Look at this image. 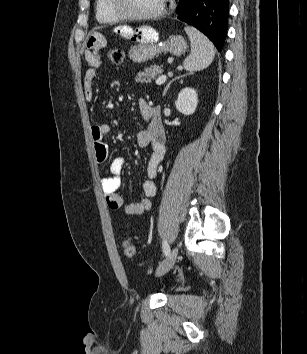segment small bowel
<instances>
[{
	"label": "small bowel",
	"mask_w": 307,
	"mask_h": 354,
	"mask_svg": "<svg viewBox=\"0 0 307 354\" xmlns=\"http://www.w3.org/2000/svg\"><path fill=\"white\" fill-rule=\"evenodd\" d=\"M116 34L121 38H134L136 29L119 28ZM105 46V41L101 37H94L88 41L85 51V62L88 66L83 78V91L87 100L94 97V80L97 76L98 68L102 64L100 52ZM139 109L147 127L142 130L137 137L138 145L141 148L149 149L151 156L146 166L147 179L142 183L144 197L135 203L124 204L123 198L117 193L121 186V173L125 165L123 157H116L112 160L109 174L102 177L101 186L106 196L107 204L110 209H124L128 215H141L151 208V198L155 196L157 188L154 179L157 175L158 167L165 155V134L157 110L152 107L145 99L139 100ZM110 132V125L107 123L95 124L91 127V137L94 144L95 157L98 163L106 161L108 147L104 142L105 136Z\"/></svg>",
	"instance_id": "1"
}]
</instances>
